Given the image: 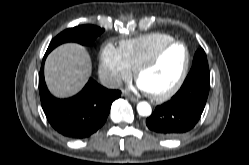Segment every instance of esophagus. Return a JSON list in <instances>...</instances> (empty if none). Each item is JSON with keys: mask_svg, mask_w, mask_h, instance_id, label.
<instances>
[{"mask_svg": "<svg viewBox=\"0 0 249 165\" xmlns=\"http://www.w3.org/2000/svg\"><path fill=\"white\" fill-rule=\"evenodd\" d=\"M123 95L126 97V98H128V99H130L132 102H138V99L136 98V97H134L133 95H131V94H129V93H123Z\"/></svg>", "mask_w": 249, "mask_h": 165, "instance_id": "1", "label": "esophagus"}]
</instances>
